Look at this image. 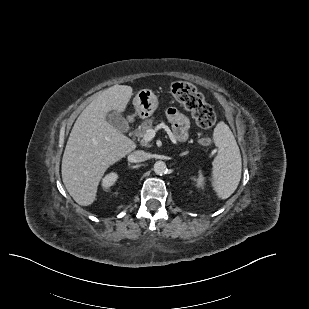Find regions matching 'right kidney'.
Returning a JSON list of instances; mask_svg holds the SVG:
<instances>
[{"instance_id":"right-kidney-1","label":"right kidney","mask_w":309,"mask_h":309,"mask_svg":"<svg viewBox=\"0 0 309 309\" xmlns=\"http://www.w3.org/2000/svg\"><path fill=\"white\" fill-rule=\"evenodd\" d=\"M118 178V175L116 173H109L102 179V187L104 189H108L110 186H112Z\"/></svg>"}]
</instances>
